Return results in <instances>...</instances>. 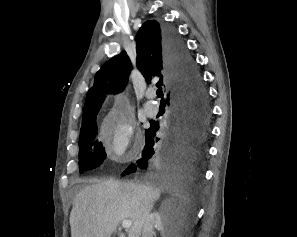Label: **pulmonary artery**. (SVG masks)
I'll list each match as a JSON object with an SVG mask.
<instances>
[{"mask_svg":"<svg viewBox=\"0 0 297 237\" xmlns=\"http://www.w3.org/2000/svg\"><path fill=\"white\" fill-rule=\"evenodd\" d=\"M145 111L149 116H154L158 113V107L151 101H147L145 104Z\"/></svg>","mask_w":297,"mask_h":237,"instance_id":"e3ab8cb5","label":"pulmonary artery"}]
</instances>
